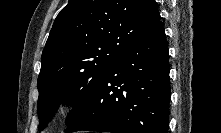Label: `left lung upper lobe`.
Segmentation results:
<instances>
[{
  "mask_svg": "<svg viewBox=\"0 0 221 133\" xmlns=\"http://www.w3.org/2000/svg\"><path fill=\"white\" fill-rule=\"evenodd\" d=\"M160 19L155 0H69L56 17L38 76L39 129L61 102L70 125L123 50Z\"/></svg>",
  "mask_w": 221,
  "mask_h": 133,
  "instance_id": "1",
  "label": "left lung upper lobe"
}]
</instances>
